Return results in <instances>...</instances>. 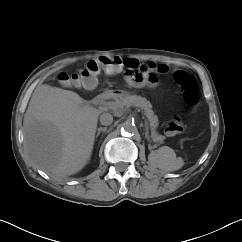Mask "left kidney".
I'll return each instance as SVG.
<instances>
[{
  "label": "left kidney",
  "instance_id": "left-kidney-1",
  "mask_svg": "<svg viewBox=\"0 0 242 242\" xmlns=\"http://www.w3.org/2000/svg\"><path fill=\"white\" fill-rule=\"evenodd\" d=\"M182 165V162L179 163V167Z\"/></svg>",
  "mask_w": 242,
  "mask_h": 242
}]
</instances>
